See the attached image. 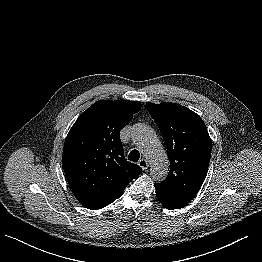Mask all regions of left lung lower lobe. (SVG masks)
Wrapping results in <instances>:
<instances>
[{"label": "left lung lower lobe", "instance_id": "obj_1", "mask_svg": "<svg viewBox=\"0 0 262 262\" xmlns=\"http://www.w3.org/2000/svg\"><path fill=\"white\" fill-rule=\"evenodd\" d=\"M156 195L162 205L167 209H179L186 206L190 201L181 199L178 197L171 196L167 193H164L156 188Z\"/></svg>", "mask_w": 262, "mask_h": 262}]
</instances>
